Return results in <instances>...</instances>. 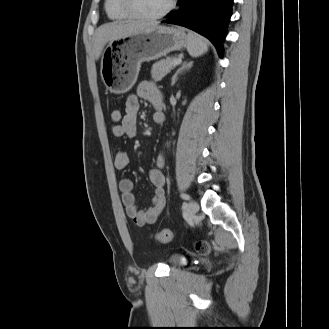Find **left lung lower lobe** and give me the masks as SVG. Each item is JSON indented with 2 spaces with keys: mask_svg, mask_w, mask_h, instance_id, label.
<instances>
[{
  "mask_svg": "<svg viewBox=\"0 0 329 329\" xmlns=\"http://www.w3.org/2000/svg\"><path fill=\"white\" fill-rule=\"evenodd\" d=\"M232 4L233 0H179L180 8L162 22L184 26L207 37L222 57Z\"/></svg>",
  "mask_w": 329,
  "mask_h": 329,
  "instance_id": "left-lung-lower-lobe-1",
  "label": "left lung lower lobe"
}]
</instances>
